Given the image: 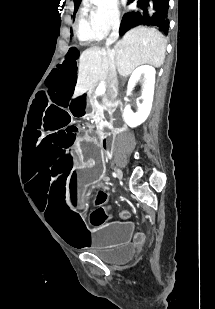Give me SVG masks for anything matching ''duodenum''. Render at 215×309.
<instances>
[{
	"label": "duodenum",
	"instance_id": "obj_1",
	"mask_svg": "<svg viewBox=\"0 0 215 309\" xmlns=\"http://www.w3.org/2000/svg\"><path fill=\"white\" fill-rule=\"evenodd\" d=\"M102 141H103V143H106V142H107V140H106V138H105L104 136H103Z\"/></svg>",
	"mask_w": 215,
	"mask_h": 309
}]
</instances>
